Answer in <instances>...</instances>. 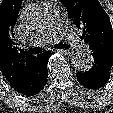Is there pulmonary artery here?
<instances>
[{"instance_id":"obj_1","label":"pulmonary artery","mask_w":113,"mask_h":113,"mask_svg":"<svg viewBox=\"0 0 113 113\" xmlns=\"http://www.w3.org/2000/svg\"><path fill=\"white\" fill-rule=\"evenodd\" d=\"M43 8L46 15L45 21L41 29L36 34H34L32 38V44L34 46H39L47 43L53 38L56 33L65 31L67 38L69 39L73 47L86 50V44L80 42L79 39L71 31H66V28L60 22V9L56 2H46L43 4Z\"/></svg>"}]
</instances>
